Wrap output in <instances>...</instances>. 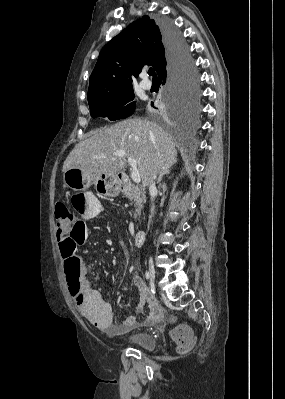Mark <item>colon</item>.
Listing matches in <instances>:
<instances>
[{"label": "colon", "instance_id": "obj_1", "mask_svg": "<svg viewBox=\"0 0 285 399\" xmlns=\"http://www.w3.org/2000/svg\"><path fill=\"white\" fill-rule=\"evenodd\" d=\"M87 198L88 193L76 194L71 198V206L76 211L83 210ZM56 226L62 233L60 239V250L61 257L64 261L66 280L70 292L76 294L79 286L78 276L69 268V266L71 261L76 258L75 254L78 245L87 239L88 233L84 229L83 225L75 220V215L71 212L70 207L65 204H61L57 208ZM81 299L82 297L80 296V300ZM173 336L180 352H186L192 347L194 338L188 330L183 329L176 331Z\"/></svg>", "mask_w": 285, "mask_h": 399}]
</instances>
